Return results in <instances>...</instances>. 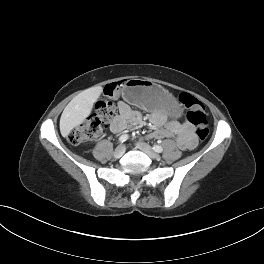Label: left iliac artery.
I'll return each mask as SVG.
<instances>
[{
	"instance_id": "left-iliac-artery-1",
	"label": "left iliac artery",
	"mask_w": 264,
	"mask_h": 264,
	"mask_svg": "<svg viewBox=\"0 0 264 264\" xmlns=\"http://www.w3.org/2000/svg\"><path fill=\"white\" fill-rule=\"evenodd\" d=\"M153 150L155 152L161 153L163 151V148L161 146H159V145H154L153 146Z\"/></svg>"
}]
</instances>
